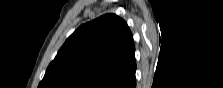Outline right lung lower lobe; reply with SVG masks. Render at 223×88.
I'll return each mask as SVG.
<instances>
[{
    "instance_id": "obj_1",
    "label": "right lung lower lobe",
    "mask_w": 223,
    "mask_h": 88,
    "mask_svg": "<svg viewBox=\"0 0 223 88\" xmlns=\"http://www.w3.org/2000/svg\"><path fill=\"white\" fill-rule=\"evenodd\" d=\"M135 87H136V78L134 77V79L131 81V88Z\"/></svg>"
}]
</instances>
